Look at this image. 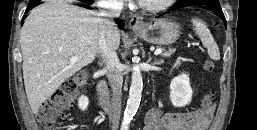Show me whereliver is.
Here are the masks:
<instances>
[{"mask_svg":"<svg viewBox=\"0 0 257 130\" xmlns=\"http://www.w3.org/2000/svg\"><path fill=\"white\" fill-rule=\"evenodd\" d=\"M99 14L57 0L34 8L26 18L20 37L23 78L33 113L59 86L99 53L102 18ZM120 45V32L115 36ZM71 56L79 57L70 62Z\"/></svg>","mask_w":257,"mask_h":130,"instance_id":"obj_1","label":"liver"}]
</instances>
